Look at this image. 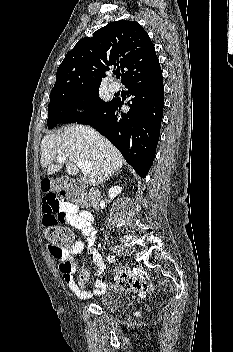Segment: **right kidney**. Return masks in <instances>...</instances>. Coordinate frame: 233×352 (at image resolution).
Returning <instances> with one entry per match:
<instances>
[{"label": "right kidney", "mask_w": 233, "mask_h": 352, "mask_svg": "<svg viewBox=\"0 0 233 352\" xmlns=\"http://www.w3.org/2000/svg\"><path fill=\"white\" fill-rule=\"evenodd\" d=\"M122 188L120 186L111 187L108 191L110 199L115 198L119 193H121Z\"/></svg>", "instance_id": "right-kidney-1"}]
</instances>
